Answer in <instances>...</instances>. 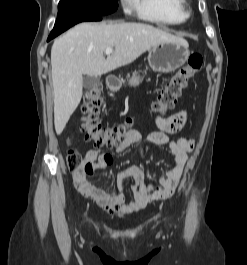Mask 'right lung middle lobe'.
<instances>
[{
	"label": "right lung middle lobe",
	"mask_w": 247,
	"mask_h": 265,
	"mask_svg": "<svg viewBox=\"0 0 247 265\" xmlns=\"http://www.w3.org/2000/svg\"><path fill=\"white\" fill-rule=\"evenodd\" d=\"M117 8V0H60L57 18L79 14L104 16Z\"/></svg>",
	"instance_id": "obj_1"
}]
</instances>
